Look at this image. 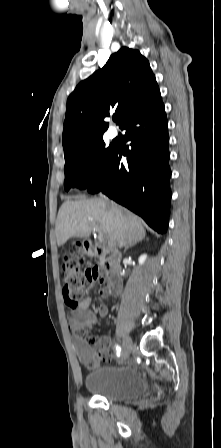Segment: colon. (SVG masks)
<instances>
[{"label":"colon","mask_w":221,"mask_h":448,"mask_svg":"<svg viewBox=\"0 0 221 448\" xmlns=\"http://www.w3.org/2000/svg\"><path fill=\"white\" fill-rule=\"evenodd\" d=\"M63 295L69 307H77L85 298L87 285L103 279L104 273L96 265H84V255L81 247L76 246L62 253ZM94 342L93 337H88ZM106 341H99V347L104 348Z\"/></svg>","instance_id":"5ec220e1"}]
</instances>
